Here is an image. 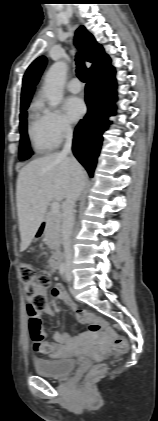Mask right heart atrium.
<instances>
[{
	"label": "right heart atrium",
	"mask_w": 158,
	"mask_h": 421,
	"mask_svg": "<svg viewBox=\"0 0 158 421\" xmlns=\"http://www.w3.org/2000/svg\"><path fill=\"white\" fill-rule=\"evenodd\" d=\"M44 115L48 134L56 144L72 133V125L61 111L45 109Z\"/></svg>",
	"instance_id": "d8ad5b80"
}]
</instances>
